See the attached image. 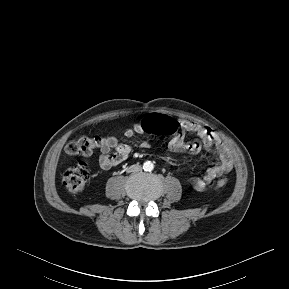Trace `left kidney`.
Masks as SVG:
<instances>
[{"instance_id": "obj_1", "label": "left kidney", "mask_w": 289, "mask_h": 289, "mask_svg": "<svg viewBox=\"0 0 289 289\" xmlns=\"http://www.w3.org/2000/svg\"><path fill=\"white\" fill-rule=\"evenodd\" d=\"M198 186H195L196 189H202L204 187V182L198 181Z\"/></svg>"}]
</instances>
